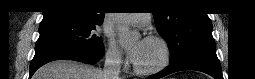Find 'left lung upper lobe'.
I'll use <instances>...</instances> for the list:
<instances>
[{"instance_id": "left-lung-upper-lobe-1", "label": "left lung upper lobe", "mask_w": 255, "mask_h": 79, "mask_svg": "<svg viewBox=\"0 0 255 79\" xmlns=\"http://www.w3.org/2000/svg\"><path fill=\"white\" fill-rule=\"evenodd\" d=\"M153 16L159 34L168 43L171 63L201 48H215L212 23L206 13L157 9Z\"/></svg>"}]
</instances>
